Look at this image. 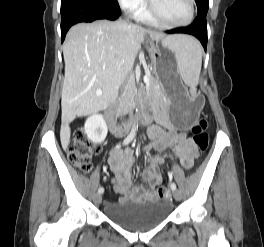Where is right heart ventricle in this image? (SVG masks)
<instances>
[{"instance_id":"right-heart-ventricle-1","label":"right heart ventricle","mask_w":264,"mask_h":247,"mask_svg":"<svg viewBox=\"0 0 264 247\" xmlns=\"http://www.w3.org/2000/svg\"><path fill=\"white\" fill-rule=\"evenodd\" d=\"M136 19L142 23L149 24V25H156V22L150 17L148 11L143 8L139 10L136 15Z\"/></svg>"}]
</instances>
